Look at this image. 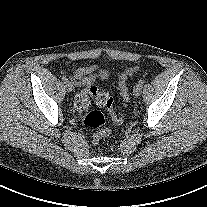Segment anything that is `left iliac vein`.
<instances>
[{
	"label": "left iliac vein",
	"mask_w": 207,
	"mask_h": 207,
	"mask_svg": "<svg viewBox=\"0 0 207 207\" xmlns=\"http://www.w3.org/2000/svg\"><path fill=\"white\" fill-rule=\"evenodd\" d=\"M141 92H142V85H140V84L135 85L134 88H133L134 95L135 96H140Z\"/></svg>",
	"instance_id": "4c4485c4"
}]
</instances>
